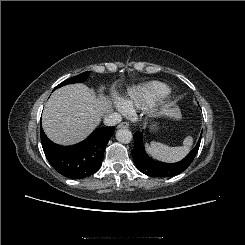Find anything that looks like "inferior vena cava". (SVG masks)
<instances>
[{
    "instance_id": "obj_1",
    "label": "inferior vena cava",
    "mask_w": 245,
    "mask_h": 245,
    "mask_svg": "<svg viewBox=\"0 0 245 245\" xmlns=\"http://www.w3.org/2000/svg\"><path fill=\"white\" fill-rule=\"evenodd\" d=\"M122 120L121 115L118 113H109L104 118V124L107 126H115Z\"/></svg>"
}]
</instances>
